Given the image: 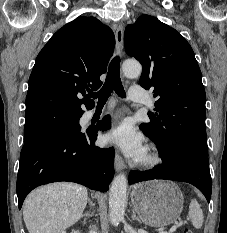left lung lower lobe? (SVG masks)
I'll return each instance as SVG.
<instances>
[{
	"mask_svg": "<svg viewBox=\"0 0 227 233\" xmlns=\"http://www.w3.org/2000/svg\"><path fill=\"white\" fill-rule=\"evenodd\" d=\"M162 165L150 171H131L130 184L136 182L165 179L187 182L197 187L206 197L211 198L212 179L208 155L190 146H178L169 154L161 155Z\"/></svg>",
	"mask_w": 227,
	"mask_h": 233,
	"instance_id": "obj_1",
	"label": "left lung lower lobe"
}]
</instances>
